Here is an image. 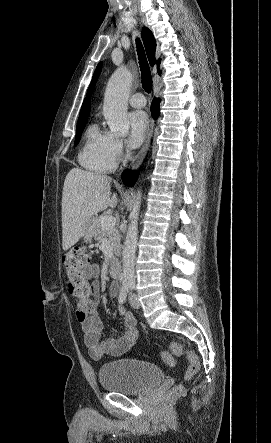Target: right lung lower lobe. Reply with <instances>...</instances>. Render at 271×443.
Listing matches in <instances>:
<instances>
[{
	"label": "right lung lower lobe",
	"mask_w": 271,
	"mask_h": 443,
	"mask_svg": "<svg viewBox=\"0 0 271 443\" xmlns=\"http://www.w3.org/2000/svg\"><path fill=\"white\" fill-rule=\"evenodd\" d=\"M159 104H160V100L159 99H154L151 105V112H152V116L154 118H157L159 115ZM137 175L138 173L133 171H125L123 173L122 179L125 185L127 186H132L134 185V183L137 180Z\"/></svg>",
	"instance_id": "obj_1"
}]
</instances>
